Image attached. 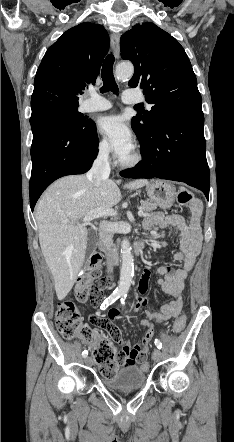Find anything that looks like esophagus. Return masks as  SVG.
<instances>
[{
  "label": "esophagus",
  "mask_w": 234,
  "mask_h": 442,
  "mask_svg": "<svg viewBox=\"0 0 234 442\" xmlns=\"http://www.w3.org/2000/svg\"><path fill=\"white\" fill-rule=\"evenodd\" d=\"M111 46H112L114 56L116 58H118L119 53H120V34L119 33H113L111 35Z\"/></svg>",
  "instance_id": "obj_1"
}]
</instances>
